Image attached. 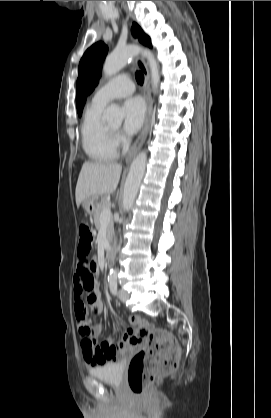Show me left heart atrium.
Segmentation results:
<instances>
[{"instance_id":"obj_1","label":"left heart atrium","mask_w":271,"mask_h":418,"mask_svg":"<svg viewBox=\"0 0 271 418\" xmlns=\"http://www.w3.org/2000/svg\"><path fill=\"white\" fill-rule=\"evenodd\" d=\"M124 111V130L127 134L133 135L140 130L144 123L146 115L144 102L138 97L130 98L124 104Z\"/></svg>"}]
</instances>
